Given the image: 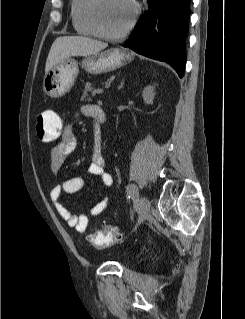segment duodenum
I'll return each mask as SVG.
<instances>
[{
  "instance_id": "410a0bca",
  "label": "duodenum",
  "mask_w": 245,
  "mask_h": 319,
  "mask_svg": "<svg viewBox=\"0 0 245 319\" xmlns=\"http://www.w3.org/2000/svg\"><path fill=\"white\" fill-rule=\"evenodd\" d=\"M98 120L103 123L104 120H105V116H104V115H100V116L98 117Z\"/></svg>"
}]
</instances>
